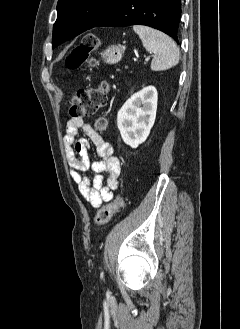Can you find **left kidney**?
Segmentation results:
<instances>
[{
    "label": "left kidney",
    "mask_w": 240,
    "mask_h": 329,
    "mask_svg": "<svg viewBox=\"0 0 240 329\" xmlns=\"http://www.w3.org/2000/svg\"><path fill=\"white\" fill-rule=\"evenodd\" d=\"M157 100L156 88L148 86L132 95L118 112V129L130 147L137 148L147 139L155 122Z\"/></svg>",
    "instance_id": "1"
}]
</instances>
